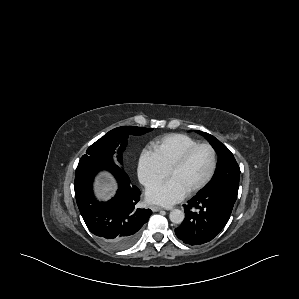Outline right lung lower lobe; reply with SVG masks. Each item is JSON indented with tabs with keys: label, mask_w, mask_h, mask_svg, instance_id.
<instances>
[{
	"label": "right lung lower lobe",
	"mask_w": 299,
	"mask_h": 299,
	"mask_svg": "<svg viewBox=\"0 0 299 299\" xmlns=\"http://www.w3.org/2000/svg\"><path fill=\"white\" fill-rule=\"evenodd\" d=\"M101 170L110 171L116 178L118 190L108 202L95 199L92 183ZM75 197L88 229L111 249L130 247L138 238L140 228L152 211L140 209V192L130 183L127 174L108 162L88 161L78 164L75 174Z\"/></svg>",
	"instance_id": "right-lung-lower-lobe-1"
}]
</instances>
